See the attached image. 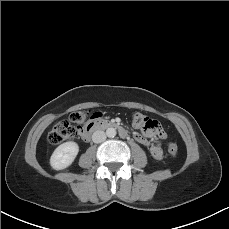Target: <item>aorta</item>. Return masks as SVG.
Here are the masks:
<instances>
[{
  "label": "aorta",
  "instance_id": "1",
  "mask_svg": "<svg viewBox=\"0 0 229 229\" xmlns=\"http://www.w3.org/2000/svg\"><path fill=\"white\" fill-rule=\"evenodd\" d=\"M116 129L115 128H108L106 130V135L109 137V138H114L116 136Z\"/></svg>",
  "mask_w": 229,
  "mask_h": 229
}]
</instances>
